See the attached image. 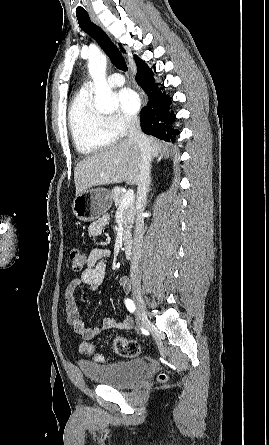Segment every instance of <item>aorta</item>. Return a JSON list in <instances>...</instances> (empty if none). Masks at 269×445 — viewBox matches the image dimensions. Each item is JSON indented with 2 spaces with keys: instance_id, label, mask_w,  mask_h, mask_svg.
<instances>
[{
  "instance_id": "1",
  "label": "aorta",
  "mask_w": 269,
  "mask_h": 445,
  "mask_svg": "<svg viewBox=\"0 0 269 445\" xmlns=\"http://www.w3.org/2000/svg\"><path fill=\"white\" fill-rule=\"evenodd\" d=\"M107 58L103 54H93L88 60V70L95 84V108L104 113L118 108V100L106 81Z\"/></svg>"
}]
</instances>
